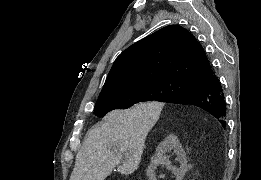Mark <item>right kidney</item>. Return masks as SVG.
Returning <instances> with one entry per match:
<instances>
[{
  "label": "right kidney",
  "instance_id": "obj_1",
  "mask_svg": "<svg viewBox=\"0 0 261 180\" xmlns=\"http://www.w3.org/2000/svg\"><path fill=\"white\" fill-rule=\"evenodd\" d=\"M168 150H174V154H176L178 160H180V168H172L175 176H177L178 180H182L184 178L186 172L189 170V166L187 164V156L177 138L174 134L165 138L164 142L159 144L155 156L152 158L151 166H149L147 170V176L149 180L154 178V172L157 170V166L162 164V162H166L167 164V156H165Z\"/></svg>",
  "mask_w": 261,
  "mask_h": 180
}]
</instances>
